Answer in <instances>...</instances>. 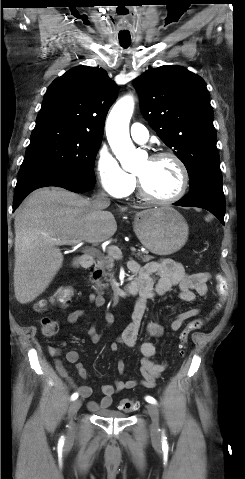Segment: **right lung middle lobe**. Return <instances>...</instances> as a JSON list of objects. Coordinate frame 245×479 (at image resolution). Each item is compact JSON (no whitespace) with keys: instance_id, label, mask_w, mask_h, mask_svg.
<instances>
[{"instance_id":"1","label":"right lung middle lobe","mask_w":245,"mask_h":479,"mask_svg":"<svg viewBox=\"0 0 245 479\" xmlns=\"http://www.w3.org/2000/svg\"><path fill=\"white\" fill-rule=\"evenodd\" d=\"M101 140L66 128H34L19 176L39 170H58L96 182L94 162Z\"/></svg>"}]
</instances>
